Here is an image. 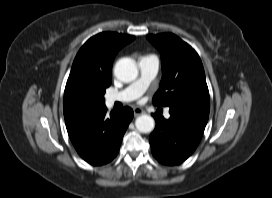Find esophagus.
I'll list each match as a JSON object with an SVG mask.
<instances>
[{
	"mask_svg": "<svg viewBox=\"0 0 272 198\" xmlns=\"http://www.w3.org/2000/svg\"><path fill=\"white\" fill-rule=\"evenodd\" d=\"M133 112L135 117L145 113V111L140 107H134Z\"/></svg>",
	"mask_w": 272,
	"mask_h": 198,
	"instance_id": "obj_1",
	"label": "esophagus"
}]
</instances>
